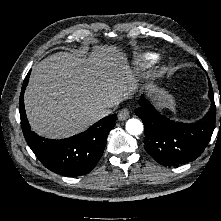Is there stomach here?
Wrapping results in <instances>:
<instances>
[{"instance_id":"0dacf381","label":"stomach","mask_w":221,"mask_h":221,"mask_svg":"<svg viewBox=\"0 0 221 221\" xmlns=\"http://www.w3.org/2000/svg\"><path fill=\"white\" fill-rule=\"evenodd\" d=\"M150 92L154 95L159 107L173 108V100L163 89L156 86H150Z\"/></svg>"}]
</instances>
